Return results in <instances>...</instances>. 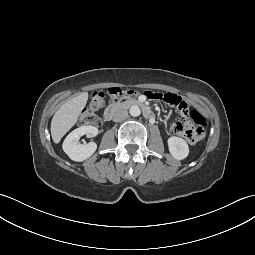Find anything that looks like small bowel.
Returning a JSON list of instances; mask_svg holds the SVG:
<instances>
[{
	"label": "small bowel",
	"mask_w": 255,
	"mask_h": 255,
	"mask_svg": "<svg viewBox=\"0 0 255 255\" xmlns=\"http://www.w3.org/2000/svg\"><path fill=\"white\" fill-rule=\"evenodd\" d=\"M171 95H174L176 96L177 98L180 99V105L177 106V108L180 110V112H183L184 110H188L189 109V106L187 104V102L185 100H183L181 97L177 96L176 94H172L170 93ZM180 125L179 122L177 123H174L172 125V130L175 131V129L177 128V126Z\"/></svg>",
	"instance_id": "c3829d8e"
}]
</instances>
